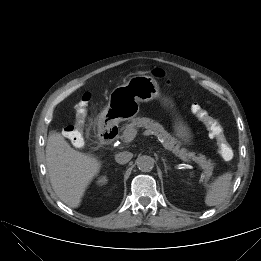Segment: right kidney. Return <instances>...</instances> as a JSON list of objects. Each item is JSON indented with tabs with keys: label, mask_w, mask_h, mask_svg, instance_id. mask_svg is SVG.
I'll use <instances>...</instances> for the list:
<instances>
[{
	"label": "right kidney",
	"mask_w": 261,
	"mask_h": 261,
	"mask_svg": "<svg viewBox=\"0 0 261 261\" xmlns=\"http://www.w3.org/2000/svg\"><path fill=\"white\" fill-rule=\"evenodd\" d=\"M107 181H108L107 177H106V176H102V177H100V178L98 179L97 183H98L99 185H104V184L107 183Z\"/></svg>",
	"instance_id": "obj_1"
}]
</instances>
